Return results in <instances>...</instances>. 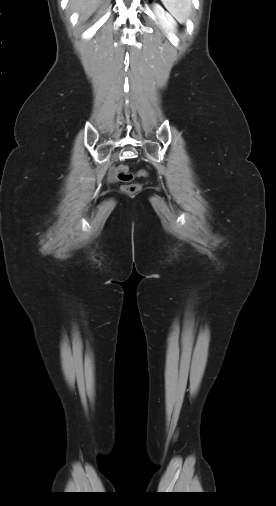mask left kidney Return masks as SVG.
I'll return each instance as SVG.
<instances>
[{
	"label": "left kidney",
	"mask_w": 276,
	"mask_h": 506,
	"mask_svg": "<svg viewBox=\"0 0 276 506\" xmlns=\"http://www.w3.org/2000/svg\"><path fill=\"white\" fill-rule=\"evenodd\" d=\"M154 13L158 17L163 29L169 34H174L176 26L174 19L170 17L159 5L154 6Z\"/></svg>",
	"instance_id": "left-kidney-1"
}]
</instances>
